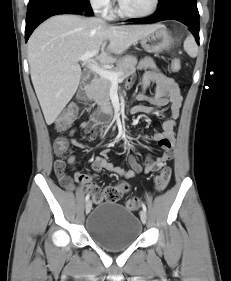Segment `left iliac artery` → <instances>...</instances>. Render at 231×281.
Returning <instances> with one entry per match:
<instances>
[{
	"instance_id": "44dca946",
	"label": "left iliac artery",
	"mask_w": 231,
	"mask_h": 281,
	"mask_svg": "<svg viewBox=\"0 0 231 281\" xmlns=\"http://www.w3.org/2000/svg\"><path fill=\"white\" fill-rule=\"evenodd\" d=\"M142 209H143V211H144V212H146V211H147V208H146V206H145V204H144V203H142Z\"/></svg>"
}]
</instances>
